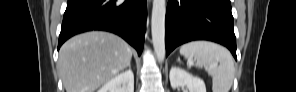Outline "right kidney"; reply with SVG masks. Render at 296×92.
<instances>
[{
    "label": "right kidney",
    "instance_id": "ca27d5eb",
    "mask_svg": "<svg viewBox=\"0 0 296 92\" xmlns=\"http://www.w3.org/2000/svg\"><path fill=\"white\" fill-rule=\"evenodd\" d=\"M98 92H134V74L131 70L122 72L107 81Z\"/></svg>",
    "mask_w": 296,
    "mask_h": 92
}]
</instances>
